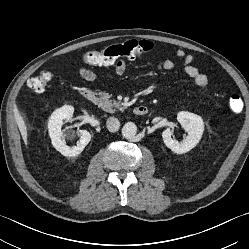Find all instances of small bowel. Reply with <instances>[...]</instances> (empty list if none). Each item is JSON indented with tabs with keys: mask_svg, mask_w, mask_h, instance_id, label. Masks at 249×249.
Instances as JSON below:
<instances>
[{
	"mask_svg": "<svg viewBox=\"0 0 249 249\" xmlns=\"http://www.w3.org/2000/svg\"><path fill=\"white\" fill-rule=\"evenodd\" d=\"M176 56L183 63L182 71L185 75L193 79L195 84L202 90L207 91L209 89V79L208 77L200 72V70L193 65V56L186 53L183 49H178L176 51ZM175 62L173 60H165L158 65L159 70L170 71L175 68ZM126 71V62L124 60H119L115 64V72L118 75H123ZM78 72L81 78L86 81H93L97 78V74L94 70L86 65H80L78 67Z\"/></svg>",
	"mask_w": 249,
	"mask_h": 249,
	"instance_id": "obj_1",
	"label": "small bowel"
}]
</instances>
